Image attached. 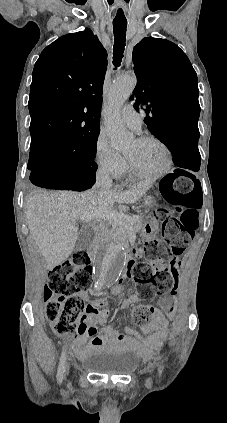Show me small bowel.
Instances as JSON below:
<instances>
[{
	"mask_svg": "<svg viewBox=\"0 0 227 423\" xmlns=\"http://www.w3.org/2000/svg\"><path fill=\"white\" fill-rule=\"evenodd\" d=\"M177 283L173 286L171 293L176 295L178 291ZM87 298V296H85ZM139 300L137 295L130 296L120 302L122 308L128 307ZM106 301L103 299L92 300L85 309V314L80 322L81 330L72 340V348L75 354L81 358L86 357L96 349L103 347H123L134 350L139 355L144 356L149 348L160 343L169 331V324L161 312H155L152 320L143 326V332L149 336L141 342L138 340L135 331L128 330L126 333L114 331L110 327L104 326L99 332L97 325H104L107 321L109 311L106 309ZM159 306L169 316H173L175 311V300L165 298L159 301Z\"/></svg>",
	"mask_w": 227,
	"mask_h": 423,
	"instance_id": "small-bowel-1",
	"label": "small bowel"
}]
</instances>
